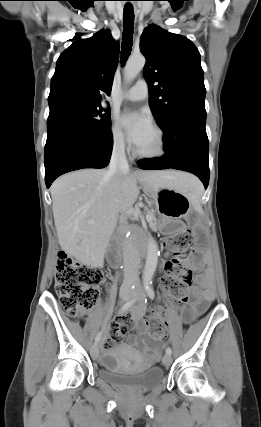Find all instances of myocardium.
<instances>
[{"instance_id":"myocardium-1","label":"myocardium","mask_w":261,"mask_h":427,"mask_svg":"<svg viewBox=\"0 0 261 427\" xmlns=\"http://www.w3.org/2000/svg\"><path fill=\"white\" fill-rule=\"evenodd\" d=\"M153 131L156 134L157 145L156 149L152 152H142L139 149L135 150V155L141 159L153 160L164 156L166 153V141L164 132L159 127H153Z\"/></svg>"}]
</instances>
